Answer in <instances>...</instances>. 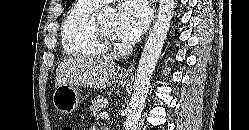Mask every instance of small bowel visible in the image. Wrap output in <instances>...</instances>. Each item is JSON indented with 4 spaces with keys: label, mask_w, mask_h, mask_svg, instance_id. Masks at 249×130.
Masks as SVG:
<instances>
[{
    "label": "small bowel",
    "mask_w": 249,
    "mask_h": 130,
    "mask_svg": "<svg viewBox=\"0 0 249 130\" xmlns=\"http://www.w3.org/2000/svg\"><path fill=\"white\" fill-rule=\"evenodd\" d=\"M89 130H95V128H90Z\"/></svg>",
    "instance_id": "small-bowel-1"
}]
</instances>
